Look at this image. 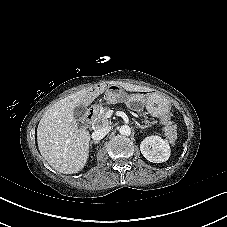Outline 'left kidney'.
<instances>
[{"label":"left kidney","instance_id":"5707ae66","mask_svg":"<svg viewBox=\"0 0 227 227\" xmlns=\"http://www.w3.org/2000/svg\"><path fill=\"white\" fill-rule=\"evenodd\" d=\"M140 150L143 156L153 163L167 161L171 153L168 141L157 135L146 137L140 144Z\"/></svg>","mask_w":227,"mask_h":227}]
</instances>
